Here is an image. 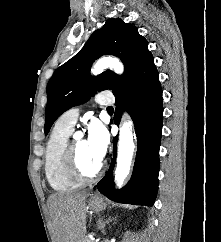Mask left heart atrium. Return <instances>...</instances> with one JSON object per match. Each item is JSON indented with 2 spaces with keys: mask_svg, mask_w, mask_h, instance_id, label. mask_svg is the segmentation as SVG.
<instances>
[{
  "mask_svg": "<svg viewBox=\"0 0 221 242\" xmlns=\"http://www.w3.org/2000/svg\"><path fill=\"white\" fill-rule=\"evenodd\" d=\"M85 142L91 155L101 161L109 144V135L104 125L97 120L92 121Z\"/></svg>",
  "mask_w": 221,
  "mask_h": 242,
  "instance_id": "1",
  "label": "left heart atrium"
}]
</instances>
